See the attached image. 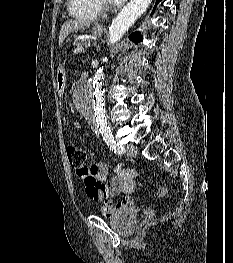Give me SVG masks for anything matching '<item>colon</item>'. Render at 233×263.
Masks as SVG:
<instances>
[{"instance_id": "5ec220e1", "label": "colon", "mask_w": 233, "mask_h": 263, "mask_svg": "<svg viewBox=\"0 0 233 263\" xmlns=\"http://www.w3.org/2000/svg\"><path fill=\"white\" fill-rule=\"evenodd\" d=\"M66 154L71 167L77 171V174L81 177L87 176L89 170L88 167L85 166V161H86L85 151L75 146H68L66 148ZM166 193H167V188L165 186H161L157 190V195L159 197L165 196Z\"/></svg>"}]
</instances>
